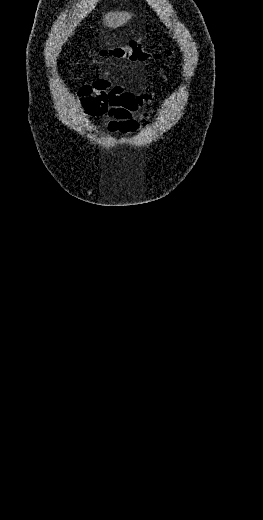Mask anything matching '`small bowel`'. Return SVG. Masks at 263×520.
Here are the masks:
<instances>
[{
    "instance_id": "c3829d8e",
    "label": "small bowel",
    "mask_w": 263,
    "mask_h": 520,
    "mask_svg": "<svg viewBox=\"0 0 263 520\" xmlns=\"http://www.w3.org/2000/svg\"><path fill=\"white\" fill-rule=\"evenodd\" d=\"M78 96L88 114L107 117L105 127L109 132L131 134L147 123L146 113L137 114L151 100L149 94L136 95L109 80L98 79L83 85Z\"/></svg>"
}]
</instances>
